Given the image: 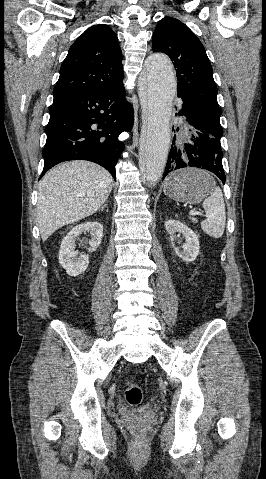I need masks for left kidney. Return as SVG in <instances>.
Wrapping results in <instances>:
<instances>
[{
    "instance_id": "left-kidney-1",
    "label": "left kidney",
    "mask_w": 266,
    "mask_h": 479,
    "mask_svg": "<svg viewBox=\"0 0 266 479\" xmlns=\"http://www.w3.org/2000/svg\"><path fill=\"white\" fill-rule=\"evenodd\" d=\"M165 229L169 233L171 240H173V235L176 232L182 234L185 238V243L182 245L183 252L181 253V257L186 263L195 261L200 249L197 235L185 224L177 220L166 221Z\"/></svg>"
}]
</instances>
